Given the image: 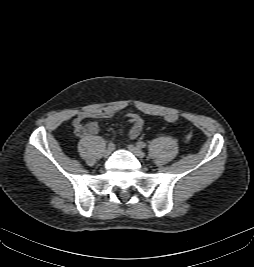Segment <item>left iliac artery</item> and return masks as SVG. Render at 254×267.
I'll return each mask as SVG.
<instances>
[{
	"instance_id": "left-iliac-artery-1",
	"label": "left iliac artery",
	"mask_w": 254,
	"mask_h": 267,
	"mask_svg": "<svg viewBox=\"0 0 254 267\" xmlns=\"http://www.w3.org/2000/svg\"><path fill=\"white\" fill-rule=\"evenodd\" d=\"M136 144H137L138 148H146V146H147L146 143H144L142 141H138Z\"/></svg>"
}]
</instances>
